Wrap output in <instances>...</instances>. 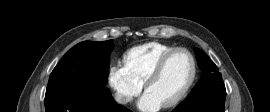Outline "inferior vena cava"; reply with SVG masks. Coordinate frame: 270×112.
<instances>
[{
    "label": "inferior vena cava",
    "instance_id": "602c4592",
    "mask_svg": "<svg viewBox=\"0 0 270 112\" xmlns=\"http://www.w3.org/2000/svg\"><path fill=\"white\" fill-rule=\"evenodd\" d=\"M130 97L128 96H124V95H121V94H116L115 95V101L120 103V104H126L130 101Z\"/></svg>",
    "mask_w": 270,
    "mask_h": 112
}]
</instances>
